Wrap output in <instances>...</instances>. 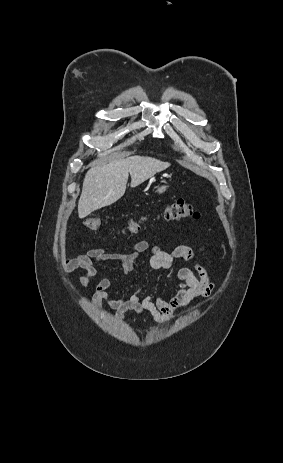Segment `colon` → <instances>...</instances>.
I'll return each mask as SVG.
<instances>
[{"label": "colon", "instance_id": "5ec220e1", "mask_svg": "<svg viewBox=\"0 0 283 463\" xmlns=\"http://www.w3.org/2000/svg\"><path fill=\"white\" fill-rule=\"evenodd\" d=\"M166 220H182L186 218H197L198 213L194 210L191 204L183 199H179L169 203L163 213ZM142 219H133L129 222L128 230L136 232L140 229ZM83 225L89 231L97 232L103 225L101 217H89L83 222Z\"/></svg>", "mask_w": 283, "mask_h": 463}]
</instances>
